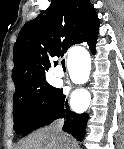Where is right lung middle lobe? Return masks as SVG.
<instances>
[{
	"label": "right lung middle lobe",
	"mask_w": 124,
	"mask_h": 149,
	"mask_svg": "<svg viewBox=\"0 0 124 149\" xmlns=\"http://www.w3.org/2000/svg\"><path fill=\"white\" fill-rule=\"evenodd\" d=\"M58 90L48 84L46 77L29 86L16 88L14 93V130L21 134L33 114L44 110Z\"/></svg>",
	"instance_id": "obj_1"
}]
</instances>
